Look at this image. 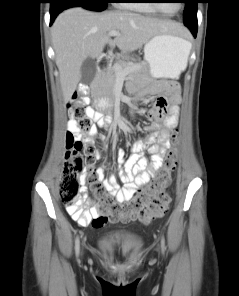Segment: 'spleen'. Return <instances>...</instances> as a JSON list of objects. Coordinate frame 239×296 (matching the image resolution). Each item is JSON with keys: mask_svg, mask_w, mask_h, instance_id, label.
<instances>
[{"mask_svg": "<svg viewBox=\"0 0 239 296\" xmlns=\"http://www.w3.org/2000/svg\"><path fill=\"white\" fill-rule=\"evenodd\" d=\"M190 49H191V47H189V49H188V54L190 53Z\"/></svg>", "mask_w": 239, "mask_h": 296, "instance_id": "3e777b00", "label": "spleen"}]
</instances>
